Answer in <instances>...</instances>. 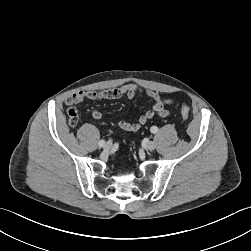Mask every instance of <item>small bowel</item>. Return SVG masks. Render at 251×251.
<instances>
[{"label": "small bowel", "instance_id": "obj_1", "mask_svg": "<svg viewBox=\"0 0 251 251\" xmlns=\"http://www.w3.org/2000/svg\"><path fill=\"white\" fill-rule=\"evenodd\" d=\"M143 94L151 101V107L141 115L136 122H128L121 120L118 122V126L128 132L138 131L143 125H145L154 116L165 117L169 114V106L172 104L170 99L160 96L157 92L142 88L133 83H127L112 89L102 91H85L79 90L68 96L65 100V104L70 109H75V105L83 102L84 100L98 101V100H114L122 97L133 98L136 95ZM68 110V111H69ZM91 115L94 119L100 120L102 113L99 109L94 108L91 111Z\"/></svg>", "mask_w": 251, "mask_h": 251}]
</instances>
